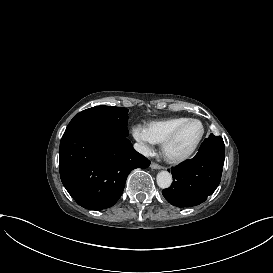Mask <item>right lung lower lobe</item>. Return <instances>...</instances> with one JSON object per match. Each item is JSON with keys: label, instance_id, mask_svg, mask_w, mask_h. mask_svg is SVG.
Returning a JSON list of instances; mask_svg holds the SVG:
<instances>
[{"label": "right lung lower lobe", "instance_id": "1", "mask_svg": "<svg viewBox=\"0 0 273 273\" xmlns=\"http://www.w3.org/2000/svg\"><path fill=\"white\" fill-rule=\"evenodd\" d=\"M59 154L64 187L80 206L90 210L113 206L123 193L128 174L150 165L126 137L94 129L65 132Z\"/></svg>", "mask_w": 273, "mask_h": 273}]
</instances>
